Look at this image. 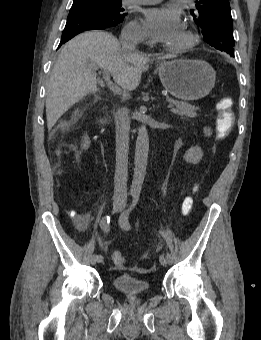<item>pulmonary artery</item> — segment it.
Wrapping results in <instances>:
<instances>
[{"label": "pulmonary artery", "mask_w": 261, "mask_h": 340, "mask_svg": "<svg viewBox=\"0 0 261 340\" xmlns=\"http://www.w3.org/2000/svg\"><path fill=\"white\" fill-rule=\"evenodd\" d=\"M133 1L139 4H152V3L159 2L161 0H133Z\"/></svg>", "instance_id": "pulmonary-artery-1"}]
</instances>
